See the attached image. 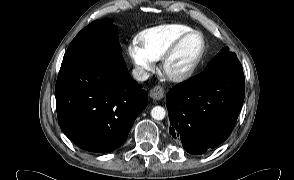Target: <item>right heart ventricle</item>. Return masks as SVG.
<instances>
[{
	"label": "right heart ventricle",
	"mask_w": 294,
	"mask_h": 180,
	"mask_svg": "<svg viewBox=\"0 0 294 180\" xmlns=\"http://www.w3.org/2000/svg\"><path fill=\"white\" fill-rule=\"evenodd\" d=\"M193 30L185 24H163L141 30L136 38L153 60H158L181 36Z\"/></svg>",
	"instance_id": "right-heart-ventricle-1"
}]
</instances>
